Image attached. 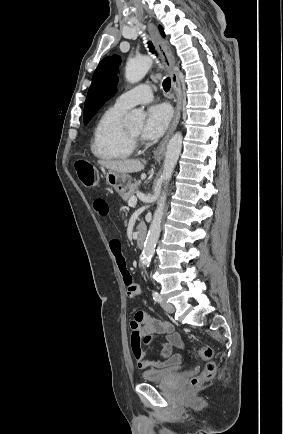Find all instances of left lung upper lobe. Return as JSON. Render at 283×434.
<instances>
[{
  "label": "left lung upper lobe",
  "mask_w": 283,
  "mask_h": 434,
  "mask_svg": "<svg viewBox=\"0 0 283 434\" xmlns=\"http://www.w3.org/2000/svg\"><path fill=\"white\" fill-rule=\"evenodd\" d=\"M159 28L161 34L164 35L163 28L161 26ZM119 64L120 57L114 55L104 58L96 68L84 105L83 121L85 124L91 120L105 101L116 93Z\"/></svg>",
  "instance_id": "obj_1"
}]
</instances>
